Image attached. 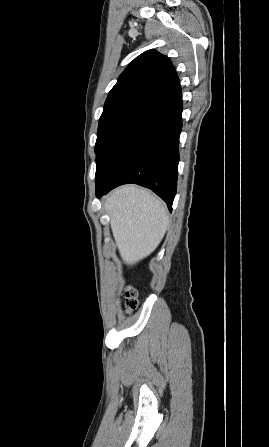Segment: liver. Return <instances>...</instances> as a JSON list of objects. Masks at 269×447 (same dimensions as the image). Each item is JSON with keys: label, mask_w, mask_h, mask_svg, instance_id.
Instances as JSON below:
<instances>
[{"label": "liver", "mask_w": 269, "mask_h": 447, "mask_svg": "<svg viewBox=\"0 0 269 447\" xmlns=\"http://www.w3.org/2000/svg\"><path fill=\"white\" fill-rule=\"evenodd\" d=\"M105 208L125 263H136L152 253L169 224L163 202L149 190L137 186H122L111 192Z\"/></svg>", "instance_id": "6515ba94"}]
</instances>
